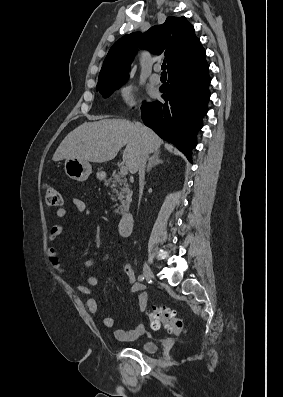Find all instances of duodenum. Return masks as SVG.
Masks as SVG:
<instances>
[{"label":"duodenum","instance_id":"410a0bca","mask_svg":"<svg viewBox=\"0 0 283 397\" xmlns=\"http://www.w3.org/2000/svg\"><path fill=\"white\" fill-rule=\"evenodd\" d=\"M134 223L133 215L130 212L124 213L118 221V231L122 236H128L132 232Z\"/></svg>","mask_w":283,"mask_h":397}]
</instances>
